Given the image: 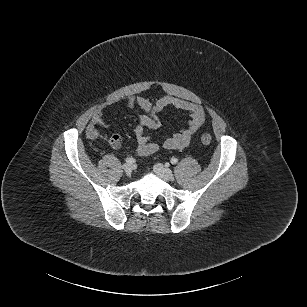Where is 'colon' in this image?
Wrapping results in <instances>:
<instances>
[{
  "label": "colon",
  "mask_w": 307,
  "mask_h": 307,
  "mask_svg": "<svg viewBox=\"0 0 307 307\" xmlns=\"http://www.w3.org/2000/svg\"><path fill=\"white\" fill-rule=\"evenodd\" d=\"M201 142L203 144H210L212 142V137L209 133H202L200 136ZM122 142V138L118 134H114L109 138V143L112 147H119Z\"/></svg>",
  "instance_id": "colon-1"
}]
</instances>
